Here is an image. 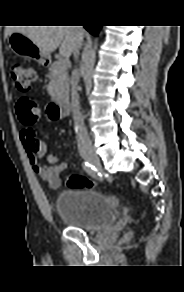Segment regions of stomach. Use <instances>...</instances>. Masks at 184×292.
<instances>
[{
  "label": "stomach",
  "mask_w": 184,
  "mask_h": 292,
  "mask_svg": "<svg viewBox=\"0 0 184 292\" xmlns=\"http://www.w3.org/2000/svg\"><path fill=\"white\" fill-rule=\"evenodd\" d=\"M8 44L10 50L16 55L32 58L42 65L48 62L49 54L21 33H11L8 37Z\"/></svg>",
  "instance_id": "stomach-1"
}]
</instances>
